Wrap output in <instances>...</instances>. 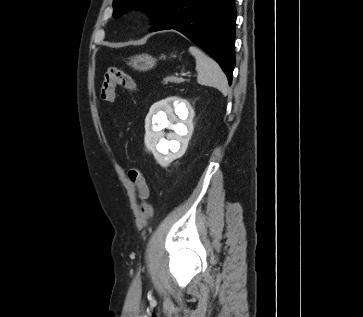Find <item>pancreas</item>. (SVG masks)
<instances>
[{"mask_svg": "<svg viewBox=\"0 0 363 317\" xmlns=\"http://www.w3.org/2000/svg\"><path fill=\"white\" fill-rule=\"evenodd\" d=\"M168 82L181 83V82H184V80L182 78H178L175 76H167L166 78H164L163 83L167 84Z\"/></svg>", "mask_w": 363, "mask_h": 317, "instance_id": "pancreas-1", "label": "pancreas"}]
</instances>
